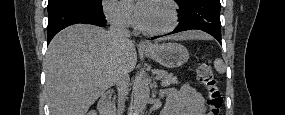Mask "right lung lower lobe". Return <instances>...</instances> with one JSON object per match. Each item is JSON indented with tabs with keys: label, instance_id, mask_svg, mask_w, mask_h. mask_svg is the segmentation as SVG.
<instances>
[{
	"label": "right lung lower lobe",
	"instance_id": "obj_1",
	"mask_svg": "<svg viewBox=\"0 0 285 115\" xmlns=\"http://www.w3.org/2000/svg\"><path fill=\"white\" fill-rule=\"evenodd\" d=\"M76 23H88L105 26L106 19L102 11L80 7H69L57 10L48 15V44L52 38L65 27Z\"/></svg>",
	"mask_w": 285,
	"mask_h": 115
}]
</instances>
